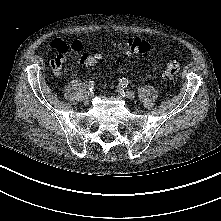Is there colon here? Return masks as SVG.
<instances>
[{"mask_svg": "<svg viewBox=\"0 0 221 221\" xmlns=\"http://www.w3.org/2000/svg\"><path fill=\"white\" fill-rule=\"evenodd\" d=\"M151 49L150 44L141 38H132L126 44V50L133 55H142ZM100 59L99 54L89 55L83 54L80 59V64L85 68H92ZM180 69V61L178 58L170 59L162 70V75L165 78H172Z\"/></svg>", "mask_w": 221, "mask_h": 221, "instance_id": "5ec220e1", "label": "colon"}]
</instances>
